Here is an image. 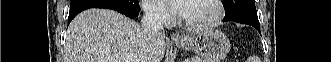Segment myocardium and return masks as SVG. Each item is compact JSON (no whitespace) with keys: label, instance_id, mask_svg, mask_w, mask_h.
<instances>
[{"label":"myocardium","instance_id":"obj_1","mask_svg":"<svg viewBox=\"0 0 331 62\" xmlns=\"http://www.w3.org/2000/svg\"><path fill=\"white\" fill-rule=\"evenodd\" d=\"M215 9H216V14L215 16L207 22L204 23H190L187 22L183 19L182 16H180L179 20H180V24L185 27L188 30L191 31H202V30H208V29H212L214 27H216L218 24H220V22L223 20L225 12H224V7L222 4V1L220 0H210Z\"/></svg>","mask_w":331,"mask_h":62}]
</instances>
